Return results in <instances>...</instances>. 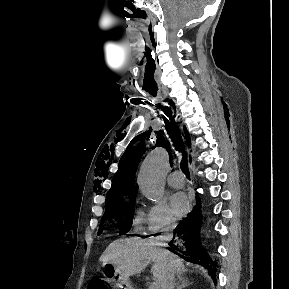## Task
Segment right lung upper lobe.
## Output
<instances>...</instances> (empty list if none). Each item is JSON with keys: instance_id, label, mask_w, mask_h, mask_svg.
Here are the masks:
<instances>
[{"instance_id": "obj_1", "label": "right lung upper lobe", "mask_w": 289, "mask_h": 289, "mask_svg": "<svg viewBox=\"0 0 289 289\" xmlns=\"http://www.w3.org/2000/svg\"><path fill=\"white\" fill-rule=\"evenodd\" d=\"M186 139L188 145L190 144V138L186 133ZM144 143H139L137 148L127 149L120 160V168L115 174L114 181L110 191L106 196V203L123 201L126 198L135 197L137 187L134 186V173L135 167L139 161V158L145 152Z\"/></svg>"}]
</instances>
